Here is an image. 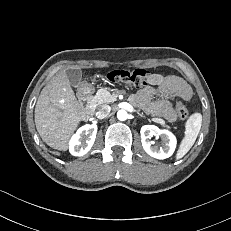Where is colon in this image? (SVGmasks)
I'll return each instance as SVG.
<instances>
[{"mask_svg":"<svg viewBox=\"0 0 231 231\" xmlns=\"http://www.w3.org/2000/svg\"><path fill=\"white\" fill-rule=\"evenodd\" d=\"M152 73L146 69H123L114 70L108 73L107 79L113 83L123 84L133 88H141L149 83ZM178 116L181 120H185L188 115V109L182 102L176 105Z\"/></svg>","mask_w":231,"mask_h":231,"instance_id":"1","label":"colon"}]
</instances>
